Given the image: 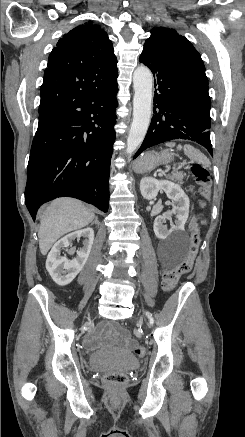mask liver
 I'll list each match as a JSON object with an SVG mask.
<instances>
[{"mask_svg": "<svg viewBox=\"0 0 245 437\" xmlns=\"http://www.w3.org/2000/svg\"><path fill=\"white\" fill-rule=\"evenodd\" d=\"M94 218L95 214L78 200L59 198L52 201L40 216V252L46 255L60 237L87 226Z\"/></svg>", "mask_w": 245, "mask_h": 437, "instance_id": "1", "label": "liver"}]
</instances>
